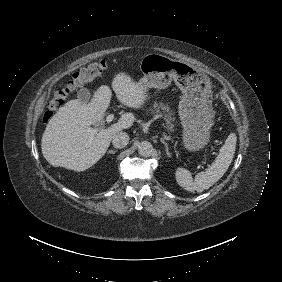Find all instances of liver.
Returning a JSON list of instances; mask_svg holds the SVG:
<instances>
[{
    "instance_id": "1",
    "label": "liver",
    "mask_w": 282,
    "mask_h": 282,
    "mask_svg": "<svg viewBox=\"0 0 282 282\" xmlns=\"http://www.w3.org/2000/svg\"><path fill=\"white\" fill-rule=\"evenodd\" d=\"M112 89L116 97L129 106L142 101L141 91L124 76H117ZM112 92L102 86L88 105L78 100L67 102L51 118L42 136L44 158L54 166L85 170L96 163L108 148L113 136L130 126L133 115L125 114L111 128L94 133L91 125L98 122L108 108Z\"/></svg>"
}]
</instances>
